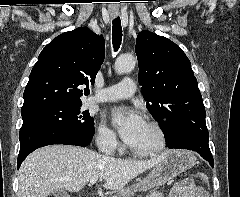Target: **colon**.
I'll return each mask as SVG.
<instances>
[{"instance_id": "1", "label": "colon", "mask_w": 240, "mask_h": 197, "mask_svg": "<svg viewBox=\"0 0 240 197\" xmlns=\"http://www.w3.org/2000/svg\"><path fill=\"white\" fill-rule=\"evenodd\" d=\"M198 178H199V180L200 181H202L203 183H208V177H207V175H205V174H203V173H200V174H198Z\"/></svg>"}]
</instances>
